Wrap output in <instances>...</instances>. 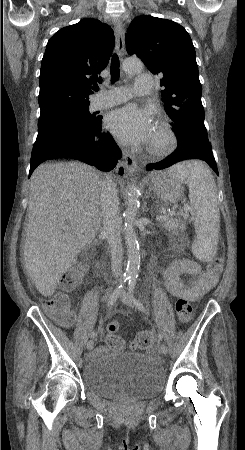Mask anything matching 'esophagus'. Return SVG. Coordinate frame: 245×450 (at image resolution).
<instances>
[{
    "instance_id": "obj_1",
    "label": "esophagus",
    "mask_w": 245,
    "mask_h": 450,
    "mask_svg": "<svg viewBox=\"0 0 245 450\" xmlns=\"http://www.w3.org/2000/svg\"><path fill=\"white\" fill-rule=\"evenodd\" d=\"M114 32L116 37V51L119 56H122L124 54L125 49V42H124V36H125V30L124 26L119 20L114 21ZM123 152V164L126 169V171L130 174L134 173L137 170V162L134 159V156L129 153L128 150L122 149Z\"/></svg>"
}]
</instances>
